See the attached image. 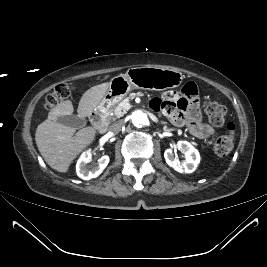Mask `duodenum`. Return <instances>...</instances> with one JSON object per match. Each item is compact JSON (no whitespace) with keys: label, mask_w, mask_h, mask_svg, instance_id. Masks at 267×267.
Masks as SVG:
<instances>
[{"label":"duodenum","mask_w":267,"mask_h":267,"mask_svg":"<svg viewBox=\"0 0 267 267\" xmlns=\"http://www.w3.org/2000/svg\"><path fill=\"white\" fill-rule=\"evenodd\" d=\"M90 120L95 128L99 131H105L107 128V119H106V111L103 109L95 110L91 116Z\"/></svg>","instance_id":"1"}]
</instances>
